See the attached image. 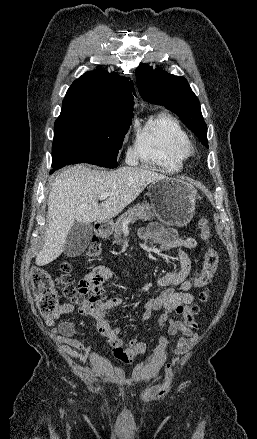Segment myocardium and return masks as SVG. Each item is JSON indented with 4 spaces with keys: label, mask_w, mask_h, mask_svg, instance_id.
I'll use <instances>...</instances> for the list:
<instances>
[{
    "label": "myocardium",
    "mask_w": 257,
    "mask_h": 439,
    "mask_svg": "<svg viewBox=\"0 0 257 439\" xmlns=\"http://www.w3.org/2000/svg\"><path fill=\"white\" fill-rule=\"evenodd\" d=\"M190 153H192V147L190 148Z\"/></svg>",
    "instance_id": "obj_1"
}]
</instances>
